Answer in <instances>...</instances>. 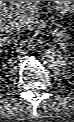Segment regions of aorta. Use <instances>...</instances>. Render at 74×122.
<instances>
[{"instance_id":"1","label":"aorta","mask_w":74,"mask_h":122,"mask_svg":"<svg viewBox=\"0 0 74 122\" xmlns=\"http://www.w3.org/2000/svg\"><path fill=\"white\" fill-rule=\"evenodd\" d=\"M42 61L49 70H58L65 64L63 53L52 46L43 50Z\"/></svg>"}]
</instances>
